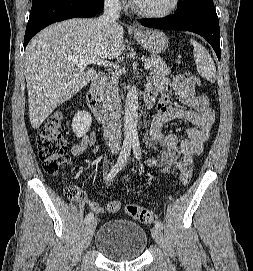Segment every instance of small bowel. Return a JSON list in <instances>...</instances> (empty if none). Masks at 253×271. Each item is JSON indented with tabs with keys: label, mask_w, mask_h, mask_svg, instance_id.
<instances>
[{
	"label": "small bowel",
	"mask_w": 253,
	"mask_h": 271,
	"mask_svg": "<svg viewBox=\"0 0 253 271\" xmlns=\"http://www.w3.org/2000/svg\"><path fill=\"white\" fill-rule=\"evenodd\" d=\"M170 89L177 93L179 100L188 109L170 104ZM147 92L158 97L157 114L151 123L147 146L161 152L159 159H149L147 164L162 171L186 170L193 163V157L203 152L216 120L215 113L207 98L196 94V80L192 77L176 75L169 79L163 75L156 76L149 81ZM174 120L192 124L186 130V138L180 143L176 134L163 132V127ZM95 137V131L83 135L81 141L72 146V155L80 156L95 142ZM91 209L95 213L104 212V208L96 203H91Z\"/></svg>",
	"instance_id": "c3829d8e"
}]
</instances>
